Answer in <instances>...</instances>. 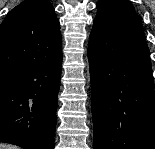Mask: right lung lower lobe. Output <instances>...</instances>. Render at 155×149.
<instances>
[{"mask_svg": "<svg viewBox=\"0 0 155 149\" xmlns=\"http://www.w3.org/2000/svg\"><path fill=\"white\" fill-rule=\"evenodd\" d=\"M62 55L0 84V142L54 149Z\"/></svg>", "mask_w": 155, "mask_h": 149, "instance_id": "98d812e1", "label": "right lung lower lobe"}]
</instances>
